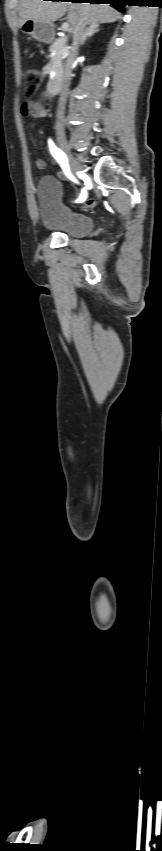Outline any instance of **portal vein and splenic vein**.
Returning <instances> with one entry per match:
<instances>
[{"instance_id":"obj_1","label":"portal vein and splenic vein","mask_w":162,"mask_h":851,"mask_svg":"<svg viewBox=\"0 0 162 851\" xmlns=\"http://www.w3.org/2000/svg\"><path fill=\"white\" fill-rule=\"evenodd\" d=\"M68 30H69V23H68V22H64V23L62 24V31L66 32V31H68Z\"/></svg>"}]
</instances>
